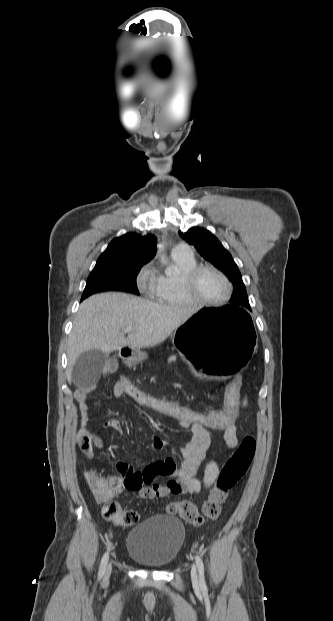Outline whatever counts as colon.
Instances as JSON below:
<instances>
[{"mask_svg":"<svg viewBox=\"0 0 333 621\" xmlns=\"http://www.w3.org/2000/svg\"><path fill=\"white\" fill-rule=\"evenodd\" d=\"M115 385L122 392V396H127L139 407L165 415L180 424L223 429L236 422L240 412L239 374H235L228 382L223 405L210 409L192 407L162 394L148 392L125 377L119 378ZM255 451V439L252 436L244 437L222 467L213 489L202 505L201 512L194 503L184 500L169 503L166 507L167 513L179 515L193 526H201L206 520L217 519L230 491L247 473ZM85 480L96 501L102 504V516L105 520L122 526H132L139 521L140 515L137 511L122 510L113 500L121 486L128 490L135 487L136 481L131 476L125 477L120 482L89 469L85 472Z\"/></svg>","mask_w":333,"mask_h":621,"instance_id":"1","label":"colon"}]
</instances>
